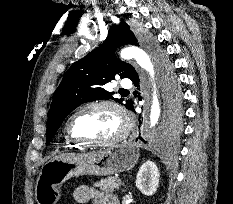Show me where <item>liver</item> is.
<instances>
[{"instance_id": "6515ba94", "label": "liver", "mask_w": 233, "mask_h": 204, "mask_svg": "<svg viewBox=\"0 0 233 204\" xmlns=\"http://www.w3.org/2000/svg\"><path fill=\"white\" fill-rule=\"evenodd\" d=\"M68 154H64V155H62V156H67Z\"/></svg>"}]
</instances>
